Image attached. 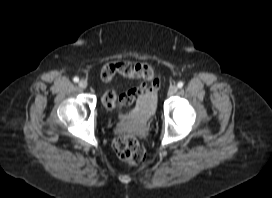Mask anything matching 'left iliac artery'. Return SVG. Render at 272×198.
Instances as JSON below:
<instances>
[{"mask_svg": "<svg viewBox=\"0 0 272 198\" xmlns=\"http://www.w3.org/2000/svg\"><path fill=\"white\" fill-rule=\"evenodd\" d=\"M183 85H184V83L182 81L178 82V84H177L178 88H182Z\"/></svg>", "mask_w": 272, "mask_h": 198, "instance_id": "44dca946", "label": "left iliac artery"}]
</instances>
